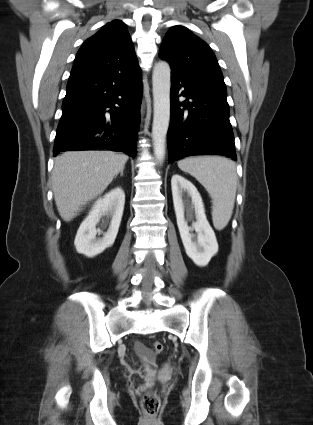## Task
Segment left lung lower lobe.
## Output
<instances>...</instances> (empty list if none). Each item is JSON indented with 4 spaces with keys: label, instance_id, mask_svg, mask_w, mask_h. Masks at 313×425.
I'll use <instances>...</instances> for the list:
<instances>
[{
    "label": "left lung lower lobe",
    "instance_id": "0a47b994",
    "mask_svg": "<svg viewBox=\"0 0 313 425\" xmlns=\"http://www.w3.org/2000/svg\"><path fill=\"white\" fill-rule=\"evenodd\" d=\"M180 96L187 100L179 102ZM226 97V89L195 84L171 73L169 162L192 155L237 160Z\"/></svg>",
    "mask_w": 313,
    "mask_h": 425
}]
</instances>
